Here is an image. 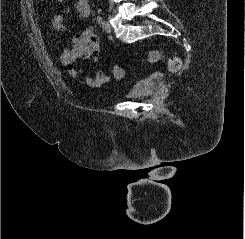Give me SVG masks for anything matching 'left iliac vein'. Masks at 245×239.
Here are the masks:
<instances>
[{
  "instance_id": "obj_1",
  "label": "left iliac vein",
  "mask_w": 245,
  "mask_h": 239,
  "mask_svg": "<svg viewBox=\"0 0 245 239\" xmlns=\"http://www.w3.org/2000/svg\"><path fill=\"white\" fill-rule=\"evenodd\" d=\"M102 29L106 33H111V31H112V27H111L110 23L106 20L102 22Z\"/></svg>"
}]
</instances>
